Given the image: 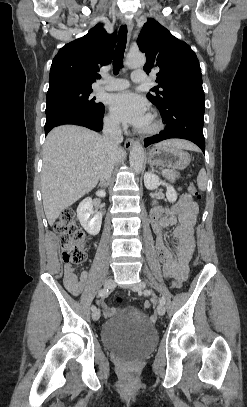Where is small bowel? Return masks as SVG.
<instances>
[{
  "label": "small bowel",
  "mask_w": 247,
  "mask_h": 407,
  "mask_svg": "<svg viewBox=\"0 0 247 407\" xmlns=\"http://www.w3.org/2000/svg\"><path fill=\"white\" fill-rule=\"evenodd\" d=\"M198 205L187 195L169 208L155 207L150 214L151 225L157 236L156 248L167 278L184 281L189 272V262L195 249L193 228L197 220ZM175 226L176 245L172 252L165 244V230ZM88 279V271L83 270L77 281L70 263L64 266V284L74 295L82 292Z\"/></svg>",
  "instance_id": "c3829d8e"
}]
</instances>
